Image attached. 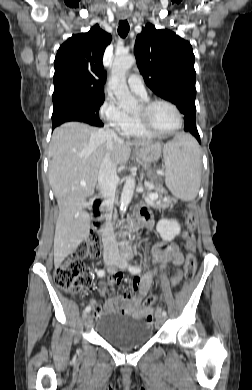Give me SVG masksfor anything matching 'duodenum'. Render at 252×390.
I'll list each match as a JSON object with an SVG mask.
<instances>
[{
	"label": "duodenum",
	"instance_id": "410a0bca",
	"mask_svg": "<svg viewBox=\"0 0 252 390\" xmlns=\"http://www.w3.org/2000/svg\"><path fill=\"white\" fill-rule=\"evenodd\" d=\"M142 211L143 207H139L133 215V229L136 233H139V231L146 226ZM92 215L94 218V228L104 235L106 222L103 212V198L101 196L95 197L92 201Z\"/></svg>",
	"mask_w": 252,
	"mask_h": 390
}]
</instances>
